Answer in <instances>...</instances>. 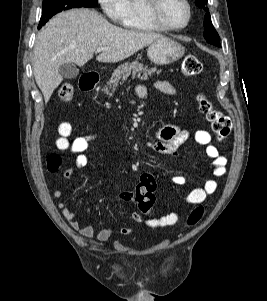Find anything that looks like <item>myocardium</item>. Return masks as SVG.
Instances as JSON below:
<instances>
[{"instance_id":"1","label":"myocardium","mask_w":267,"mask_h":301,"mask_svg":"<svg viewBox=\"0 0 267 301\" xmlns=\"http://www.w3.org/2000/svg\"><path fill=\"white\" fill-rule=\"evenodd\" d=\"M182 2L184 3L186 11H187L186 20L182 25L169 24L163 18L161 10H162L164 0H147L146 8H147L149 17L156 25L163 28L164 30L177 31V30H182L185 27H187L189 25V23L191 21V17H192V8H191L189 0H182Z\"/></svg>"}]
</instances>
